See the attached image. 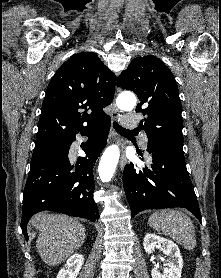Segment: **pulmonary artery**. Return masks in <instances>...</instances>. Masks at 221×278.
I'll return each mask as SVG.
<instances>
[{"instance_id":"e3ab8cb5","label":"pulmonary artery","mask_w":221,"mask_h":278,"mask_svg":"<svg viewBox=\"0 0 221 278\" xmlns=\"http://www.w3.org/2000/svg\"><path fill=\"white\" fill-rule=\"evenodd\" d=\"M120 121L122 125L128 129H133L138 126L137 118L133 114H125L124 116L121 117Z\"/></svg>"}]
</instances>
